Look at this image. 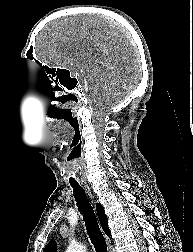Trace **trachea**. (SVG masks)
<instances>
[{
    "instance_id": "trachea-1",
    "label": "trachea",
    "mask_w": 193,
    "mask_h": 252,
    "mask_svg": "<svg viewBox=\"0 0 193 252\" xmlns=\"http://www.w3.org/2000/svg\"><path fill=\"white\" fill-rule=\"evenodd\" d=\"M71 186L73 188L74 197L77 202L79 212L83 215L87 233L96 252H107V245L104 236L98 225L93 207L89 203L84 190L79 184L71 183Z\"/></svg>"
}]
</instances>
